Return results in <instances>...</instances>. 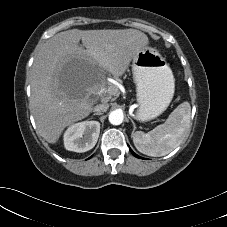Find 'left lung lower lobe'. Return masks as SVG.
I'll use <instances>...</instances> for the list:
<instances>
[{"mask_svg": "<svg viewBox=\"0 0 227 227\" xmlns=\"http://www.w3.org/2000/svg\"><path fill=\"white\" fill-rule=\"evenodd\" d=\"M129 150L131 151V153H132L135 157L141 158L140 156L136 155V154L132 151V149H131L130 147H129Z\"/></svg>", "mask_w": 227, "mask_h": 227, "instance_id": "1", "label": "left lung lower lobe"}]
</instances>
